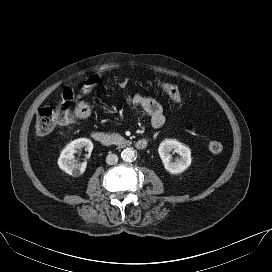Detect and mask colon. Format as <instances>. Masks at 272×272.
<instances>
[{
    "label": "colon",
    "mask_w": 272,
    "mask_h": 272,
    "mask_svg": "<svg viewBox=\"0 0 272 272\" xmlns=\"http://www.w3.org/2000/svg\"><path fill=\"white\" fill-rule=\"evenodd\" d=\"M98 81L97 76L89 77L83 84L82 90L89 93L93 90ZM159 85L174 101L180 102L183 99L182 93L177 86L160 82ZM91 114L90 104L78 97L71 88H65L62 92V101L55 107H43L37 111L35 119V133L37 136H46L57 127L72 124L76 120L85 119ZM224 145L220 140L214 139L209 142V150L218 154L223 151Z\"/></svg>",
    "instance_id": "1"
}]
</instances>
